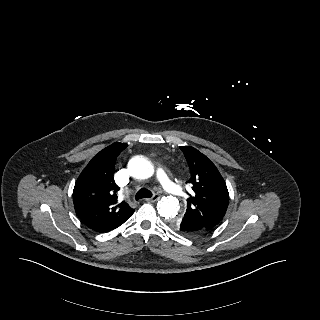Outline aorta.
Wrapping results in <instances>:
<instances>
[{"instance_id":"aorta-1","label":"aorta","mask_w":320,"mask_h":320,"mask_svg":"<svg viewBox=\"0 0 320 320\" xmlns=\"http://www.w3.org/2000/svg\"><path fill=\"white\" fill-rule=\"evenodd\" d=\"M128 169L132 176L139 180L148 179L154 174V166L145 156H134L131 158L128 163ZM179 209V201L173 196L163 197L157 203L158 213L169 221H174Z\"/></svg>"}]
</instances>
